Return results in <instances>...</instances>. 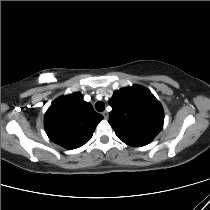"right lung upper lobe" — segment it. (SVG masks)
I'll list each match as a JSON object with an SVG mask.
<instances>
[{"mask_svg": "<svg viewBox=\"0 0 210 210\" xmlns=\"http://www.w3.org/2000/svg\"><path fill=\"white\" fill-rule=\"evenodd\" d=\"M103 116L83 101L80 93L55 100L45 114V130L51 141L76 149L87 143Z\"/></svg>", "mask_w": 210, "mask_h": 210, "instance_id": "right-lung-upper-lobe-1", "label": "right lung upper lobe"}]
</instances>
